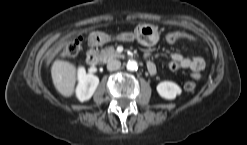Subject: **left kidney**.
Segmentation results:
<instances>
[{
    "mask_svg": "<svg viewBox=\"0 0 247 145\" xmlns=\"http://www.w3.org/2000/svg\"><path fill=\"white\" fill-rule=\"evenodd\" d=\"M158 94L165 99L173 100L176 96L180 95L182 90L181 88L174 82L171 81H163L157 85Z\"/></svg>",
    "mask_w": 247,
    "mask_h": 145,
    "instance_id": "left-kidney-1",
    "label": "left kidney"
}]
</instances>
